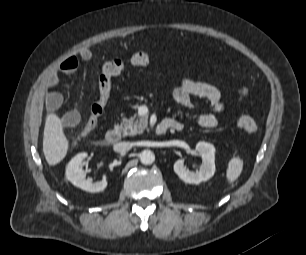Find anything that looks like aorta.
I'll list each match as a JSON object with an SVG mask.
<instances>
[{
	"instance_id": "1",
	"label": "aorta",
	"mask_w": 306,
	"mask_h": 255,
	"mask_svg": "<svg viewBox=\"0 0 306 255\" xmlns=\"http://www.w3.org/2000/svg\"><path fill=\"white\" fill-rule=\"evenodd\" d=\"M140 161L144 165H150L154 162L155 160V155L153 154L152 151L150 150H144L140 153L139 155Z\"/></svg>"
}]
</instances>
